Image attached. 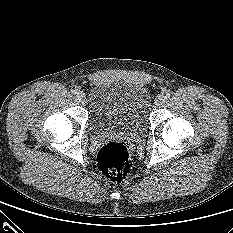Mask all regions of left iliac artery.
Returning <instances> with one entry per match:
<instances>
[{"label": "left iliac artery", "instance_id": "44dca946", "mask_svg": "<svg viewBox=\"0 0 233 233\" xmlns=\"http://www.w3.org/2000/svg\"><path fill=\"white\" fill-rule=\"evenodd\" d=\"M163 97L164 99H168L170 97V93H166Z\"/></svg>", "mask_w": 233, "mask_h": 233}]
</instances>
